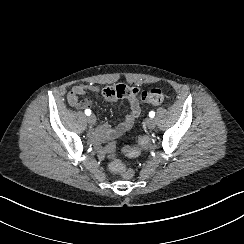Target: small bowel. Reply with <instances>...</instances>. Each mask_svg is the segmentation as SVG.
Segmentation results:
<instances>
[{
	"label": "small bowel",
	"instance_id": "obj_1",
	"mask_svg": "<svg viewBox=\"0 0 244 244\" xmlns=\"http://www.w3.org/2000/svg\"><path fill=\"white\" fill-rule=\"evenodd\" d=\"M87 92L99 93L100 90L97 86H87L85 84H78L68 92V104L76 109H86L91 107L92 103L89 99H80V96ZM127 106L128 112L124 119L117 126L111 127L109 125H103L98 130L97 136L99 141H104L106 139L113 140L132 128L135 120L141 112V106L138 99L134 96L128 97Z\"/></svg>",
	"mask_w": 244,
	"mask_h": 244
}]
</instances>
